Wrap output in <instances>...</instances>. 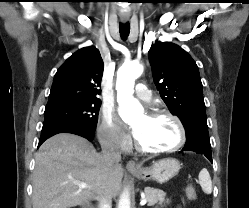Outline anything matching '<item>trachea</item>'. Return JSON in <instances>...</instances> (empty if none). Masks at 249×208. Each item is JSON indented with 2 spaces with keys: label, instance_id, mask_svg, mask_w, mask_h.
<instances>
[{
  "label": "trachea",
  "instance_id": "1",
  "mask_svg": "<svg viewBox=\"0 0 249 208\" xmlns=\"http://www.w3.org/2000/svg\"><path fill=\"white\" fill-rule=\"evenodd\" d=\"M119 32H120V36L122 39L126 40L127 37L129 36L130 33V25L129 23H120L119 24Z\"/></svg>",
  "mask_w": 249,
  "mask_h": 208
}]
</instances>
